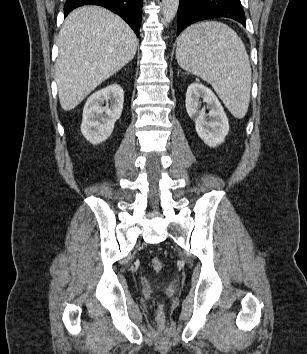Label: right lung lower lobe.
Wrapping results in <instances>:
<instances>
[{
    "mask_svg": "<svg viewBox=\"0 0 307 354\" xmlns=\"http://www.w3.org/2000/svg\"><path fill=\"white\" fill-rule=\"evenodd\" d=\"M82 5H99L113 11L122 17L139 36L142 0H67L64 16Z\"/></svg>",
    "mask_w": 307,
    "mask_h": 354,
    "instance_id": "98d812e1",
    "label": "right lung lower lobe"
}]
</instances>
